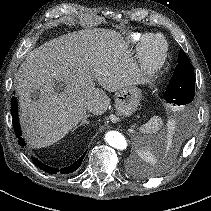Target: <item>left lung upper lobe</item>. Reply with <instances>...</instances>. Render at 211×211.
<instances>
[{
	"label": "left lung upper lobe",
	"mask_w": 211,
	"mask_h": 211,
	"mask_svg": "<svg viewBox=\"0 0 211 211\" xmlns=\"http://www.w3.org/2000/svg\"><path fill=\"white\" fill-rule=\"evenodd\" d=\"M177 62L178 65L166 88L164 98L170 104L190 108L195 95L194 72L183 50L179 51Z\"/></svg>",
	"instance_id": "5c2ea615"
}]
</instances>
